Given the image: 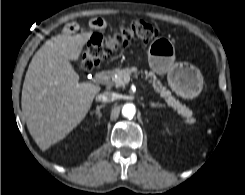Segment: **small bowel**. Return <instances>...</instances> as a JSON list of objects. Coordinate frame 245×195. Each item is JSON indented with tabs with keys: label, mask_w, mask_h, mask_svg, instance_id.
<instances>
[{
	"label": "small bowel",
	"mask_w": 245,
	"mask_h": 195,
	"mask_svg": "<svg viewBox=\"0 0 245 195\" xmlns=\"http://www.w3.org/2000/svg\"><path fill=\"white\" fill-rule=\"evenodd\" d=\"M89 26L94 30H101L106 28L107 23L101 18H94L90 20ZM77 30H78V25L75 22H69L63 28L65 34H73Z\"/></svg>",
	"instance_id": "1"
}]
</instances>
